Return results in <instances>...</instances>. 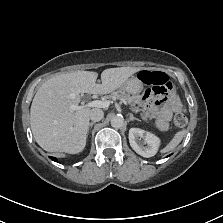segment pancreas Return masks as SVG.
Segmentation results:
<instances>
[{"label": "pancreas", "instance_id": "pancreas-1", "mask_svg": "<svg viewBox=\"0 0 223 223\" xmlns=\"http://www.w3.org/2000/svg\"><path fill=\"white\" fill-rule=\"evenodd\" d=\"M110 96L113 99H121V98H124L131 107H133V106L136 105L137 99H138V97L130 96L126 92H122L121 93V92H118L117 90L114 91V92H112Z\"/></svg>", "mask_w": 223, "mask_h": 223}]
</instances>
